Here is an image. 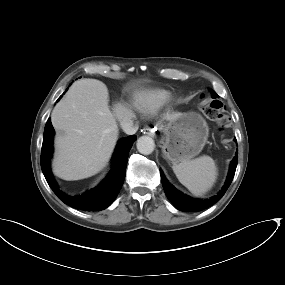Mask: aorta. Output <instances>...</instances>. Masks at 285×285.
<instances>
[{
    "label": "aorta",
    "mask_w": 285,
    "mask_h": 285,
    "mask_svg": "<svg viewBox=\"0 0 285 285\" xmlns=\"http://www.w3.org/2000/svg\"><path fill=\"white\" fill-rule=\"evenodd\" d=\"M136 146L137 150L144 155L151 154L155 149L154 140L147 136H142L138 138Z\"/></svg>",
    "instance_id": "aorta-1"
}]
</instances>
